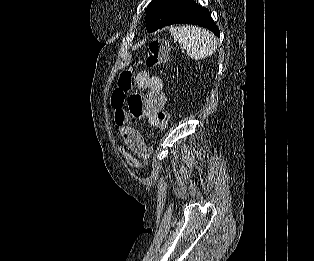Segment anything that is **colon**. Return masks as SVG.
<instances>
[{"label":"colon","instance_id":"1","mask_svg":"<svg viewBox=\"0 0 314 261\" xmlns=\"http://www.w3.org/2000/svg\"><path fill=\"white\" fill-rule=\"evenodd\" d=\"M169 45L165 39H153L149 44V53L144 62L146 66L154 68L164 66L168 62ZM135 84V76L131 69H125L119 75L117 86L113 93L115 101H124L126 93L129 92ZM158 129L164 131L169 124V114L166 111L158 113Z\"/></svg>","mask_w":314,"mask_h":261}]
</instances>
